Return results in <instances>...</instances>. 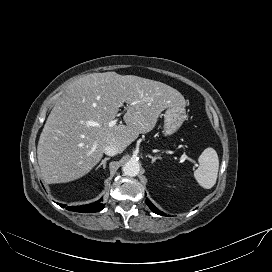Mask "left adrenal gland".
<instances>
[{
	"mask_svg": "<svg viewBox=\"0 0 272 272\" xmlns=\"http://www.w3.org/2000/svg\"><path fill=\"white\" fill-rule=\"evenodd\" d=\"M146 157H149L151 159V163H154L157 159H159V156L146 155Z\"/></svg>",
	"mask_w": 272,
	"mask_h": 272,
	"instance_id": "a2214340",
	"label": "left adrenal gland"
}]
</instances>
